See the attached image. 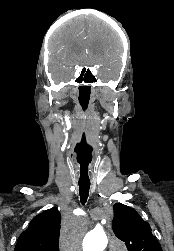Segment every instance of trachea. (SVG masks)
I'll use <instances>...</instances> for the list:
<instances>
[{"label": "trachea", "instance_id": "trachea-1", "mask_svg": "<svg viewBox=\"0 0 174 251\" xmlns=\"http://www.w3.org/2000/svg\"><path fill=\"white\" fill-rule=\"evenodd\" d=\"M90 183L79 182V194L82 204H85L89 195Z\"/></svg>", "mask_w": 174, "mask_h": 251}]
</instances>
